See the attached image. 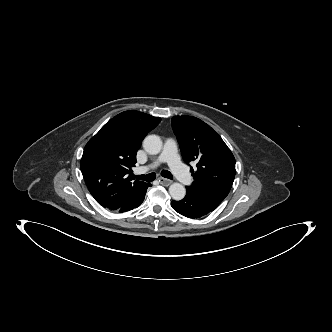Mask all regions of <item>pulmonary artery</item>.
<instances>
[{
  "label": "pulmonary artery",
  "instance_id": "obj_1",
  "mask_svg": "<svg viewBox=\"0 0 332 332\" xmlns=\"http://www.w3.org/2000/svg\"><path fill=\"white\" fill-rule=\"evenodd\" d=\"M161 163H167L175 176L183 183L189 184L191 177L185 166L177 156V145L175 140L169 138L164 144L162 153L147 166L141 167L138 172L144 173L150 169L157 168Z\"/></svg>",
  "mask_w": 332,
  "mask_h": 332
}]
</instances>
